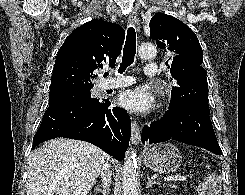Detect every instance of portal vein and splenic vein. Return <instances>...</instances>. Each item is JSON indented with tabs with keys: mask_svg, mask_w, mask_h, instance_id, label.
I'll use <instances>...</instances> for the list:
<instances>
[{
	"mask_svg": "<svg viewBox=\"0 0 245 195\" xmlns=\"http://www.w3.org/2000/svg\"><path fill=\"white\" fill-rule=\"evenodd\" d=\"M164 180L168 182H175V181H186L187 178L184 176H175L171 178H165Z\"/></svg>",
	"mask_w": 245,
	"mask_h": 195,
	"instance_id": "18ae733b",
	"label": "portal vein and splenic vein"
}]
</instances>
